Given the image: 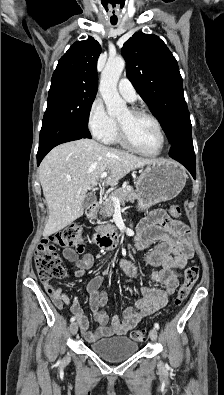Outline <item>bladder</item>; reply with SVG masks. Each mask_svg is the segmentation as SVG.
I'll return each mask as SVG.
<instances>
[{"mask_svg": "<svg viewBox=\"0 0 224 395\" xmlns=\"http://www.w3.org/2000/svg\"><path fill=\"white\" fill-rule=\"evenodd\" d=\"M89 349L109 362H120L139 350V345L127 337H110L89 345Z\"/></svg>", "mask_w": 224, "mask_h": 395, "instance_id": "1", "label": "bladder"}]
</instances>
